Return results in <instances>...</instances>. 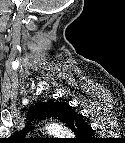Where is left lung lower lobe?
Wrapping results in <instances>:
<instances>
[{
    "mask_svg": "<svg viewBox=\"0 0 125 143\" xmlns=\"http://www.w3.org/2000/svg\"><path fill=\"white\" fill-rule=\"evenodd\" d=\"M82 120H84L83 119V116L82 115H80V114H78V113H76L72 108H71V106L70 105H66L65 106V123L67 124V126L70 128L71 126H72V124L73 123H77V122H80V121H82ZM92 130H91V132H90V134H86V136H91L92 135ZM82 135H84V134H82Z\"/></svg>",
    "mask_w": 125,
    "mask_h": 143,
    "instance_id": "left-lung-lower-lobe-1",
    "label": "left lung lower lobe"
}]
</instances>
